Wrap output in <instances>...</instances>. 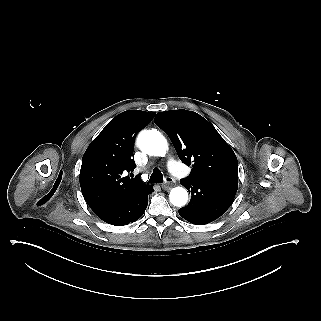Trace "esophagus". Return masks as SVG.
<instances>
[{
    "mask_svg": "<svg viewBox=\"0 0 321 321\" xmlns=\"http://www.w3.org/2000/svg\"><path fill=\"white\" fill-rule=\"evenodd\" d=\"M167 181L161 185L162 189L165 191L170 190L172 187H174V179L171 177H166Z\"/></svg>",
    "mask_w": 321,
    "mask_h": 321,
    "instance_id": "34e87169",
    "label": "esophagus"
}]
</instances>
